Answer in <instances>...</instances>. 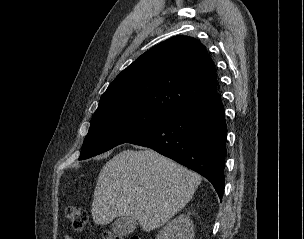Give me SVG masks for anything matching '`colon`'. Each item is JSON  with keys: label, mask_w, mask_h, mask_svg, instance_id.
I'll use <instances>...</instances> for the list:
<instances>
[{"label": "colon", "mask_w": 304, "mask_h": 239, "mask_svg": "<svg viewBox=\"0 0 304 239\" xmlns=\"http://www.w3.org/2000/svg\"><path fill=\"white\" fill-rule=\"evenodd\" d=\"M66 217L70 221L72 227L76 231H83L88 221L87 210L82 206H69L66 209ZM103 239H126L114 232L107 230L103 234ZM129 239H139L138 236H132Z\"/></svg>", "instance_id": "5ec220e1"}]
</instances>
